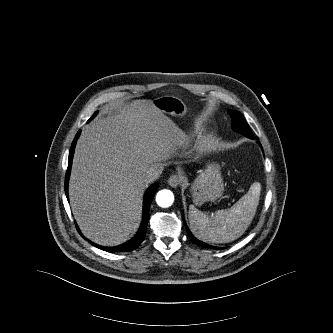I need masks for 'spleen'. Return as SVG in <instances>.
I'll return each mask as SVG.
<instances>
[{"mask_svg": "<svg viewBox=\"0 0 333 333\" xmlns=\"http://www.w3.org/2000/svg\"><path fill=\"white\" fill-rule=\"evenodd\" d=\"M261 185L255 182L231 208L217 210L211 216L189 207L190 228L196 238L208 243H229L236 240L251 224L259 204Z\"/></svg>", "mask_w": 333, "mask_h": 333, "instance_id": "3e777b00", "label": "spleen"}]
</instances>
